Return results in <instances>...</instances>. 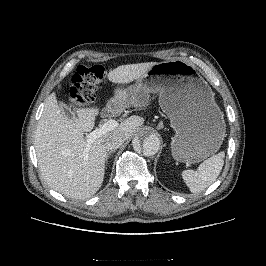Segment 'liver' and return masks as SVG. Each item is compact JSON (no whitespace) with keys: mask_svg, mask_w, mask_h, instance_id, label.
Listing matches in <instances>:
<instances>
[{"mask_svg":"<svg viewBox=\"0 0 266 266\" xmlns=\"http://www.w3.org/2000/svg\"><path fill=\"white\" fill-rule=\"evenodd\" d=\"M155 64L146 62L118 66L108 73V79L112 83L128 84L144 77ZM126 89H114L115 107H137L125 102ZM76 114L73 119L67 118L59 108L56 93H51L45 101L34 144L39 170L45 182L68 198L85 199L94 195L103 183L106 138L120 134L126 140L143 125L144 119L132 116L124 120L115 129L97 138L86 150L87 140L83 132L93 129L99 109L76 108Z\"/></svg>","mask_w":266,"mask_h":266,"instance_id":"6515ba94","label":"liver"}]
</instances>
